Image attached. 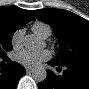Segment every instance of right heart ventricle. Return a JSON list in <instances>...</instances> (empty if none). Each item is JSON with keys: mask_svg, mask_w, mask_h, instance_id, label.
Returning <instances> with one entry per match:
<instances>
[{"mask_svg": "<svg viewBox=\"0 0 89 89\" xmlns=\"http://www.w3.org/2000/svg\"><path fill=\"white\" fill-rule=\"evenodd\" d=\"M32 30L35 34L42 38H47L51 35V28L42 22L35 23Z\"/></svg>", "mask_w": 89, "mask_h": 89, "instance_id": "right-heart-ventricle-1", "label": "right heart ventricle"}]
</instances>
